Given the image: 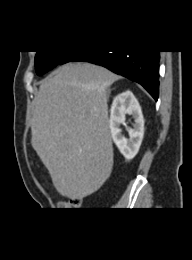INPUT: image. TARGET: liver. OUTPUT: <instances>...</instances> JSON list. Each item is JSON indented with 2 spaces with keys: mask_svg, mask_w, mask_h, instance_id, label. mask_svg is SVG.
Segmentation results:
<instances>
[{
  "mask_svg": "<svg viewBox=\"0 0 192 260\" xmlns=\"http://www.w3.org/2000/svg\"><path fill=\"white\" fill-rule=\"evenodd\" d=\"M118 79L104 67L76 62L60 67L39 87L31 144L62 196L82 199L111 174L106 91Z\"/></svg>",
  "mask_w": 192,
  "mask_h": 260,
  "instance_id": "obj_1",
  "label": "liver"
}]
</instances>
